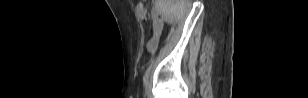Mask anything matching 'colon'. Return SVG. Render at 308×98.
<instances>
[{
  "instance_id": "obj_1",
  "label": "colon",
  "mask_w": 308,
  "mask_h": 98,
  "mask_svg": "<svg viewBox=\"0 0 308 98\" xmlns=\"http://www.w3.org/2000/svg\"><path fill=\"white\" fill-rule=\"evenodd\" d=\"M136 10H137V13H138L139 17L142 20H146L148 18V14H147L145 6H144V4L142 2H138L137 3Z\"/></svg>"
}]
</instances>
